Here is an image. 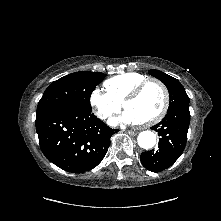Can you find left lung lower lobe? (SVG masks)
Segmentation results:
<instances>
[{"instance_id":"obj_1","label":"left lung lower lobe","mask_w":221,"mask_h":221,"mask_svg":"<svg viewBox=\"0 0 221 221\" xmlns=\"http://www.w3.org/2000/svg\"><path fill=\"white\" fill-rule=\"evenodd\" d=\"M189 123V108L169 110L164 119L152 127L160 136L159 146L157 150L141 154L142 165L152 172H160L172 166L186 146Z\"/></svg>"}]
</instances>
